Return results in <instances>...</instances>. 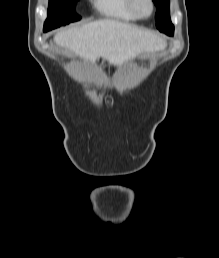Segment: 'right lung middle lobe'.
<instances>
[{"label":"right lung middle lobe","mask_w":219,"mask_h":258,"mask_svg":"<svg viewBox=\"0 0 219 258\" xmlns=\"http://www.w3.org/2000/svg\"><path fill=\"white\" fill-rule=\"evenodd\" d=\"M78 0H49L48 15L44 23V32L81 19L74 12Z\"/></svg>","instance_id":"obj_1"}]
</instances>
